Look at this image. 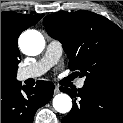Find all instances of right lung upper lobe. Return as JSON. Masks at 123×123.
Masks as SVG:
<instances>
[{
    "mask_svg": "<svg viewBox=\"0 0 123 123\" xmlns=\"http://www.w3.org/2000/svg\"><path fill=\"white\" fill-rule=\"evenodd\" d=\"M44 15H25L15 12L1 13V52L19 62L17 40L22 31L36 24ZM16 82V78L9 83Z\"/></svg>",
    "mask_w": 123,
    "mask_h": 123,
    "instance_id": "1",
    "label": "right lung upper lobe"
}]
</instances>
